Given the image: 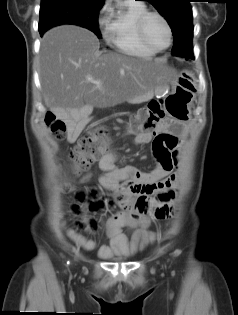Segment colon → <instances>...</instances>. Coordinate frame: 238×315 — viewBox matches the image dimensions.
I'll return each mask as SVG.
<instances>
[{"instance_id":"colon-1","label":"colon","mask_w":238,"mask_h":315,"mask_svg":"<svg viewBox=\"0 0 238 315\" xmlns=\"http://www.w3.org/2000/svg\"><path fill=\"white\" fill-rule=\"evenodd\" d=\"M164 121V111L161 103L151 101L147 107L135 112L128 121V132L132 135L155 132ZM45 123L56 139H62L66 133V124L53 114L46 116ZM108 131L103 126L95 127L91 132L81 137L70 154V160L78 171L87 168L95 161L108 145Z\"/></svg>"}]
</instances>
